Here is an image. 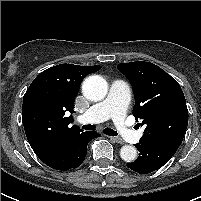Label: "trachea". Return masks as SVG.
<instances>
[{
    "mask_svg": "<svg viewBox=\"0 0 201 201\" xmlns=\"http://www.w3.org/2000/svg\"><path fill=\"white\" fill-rule=\"evenodd\" d=\"M82 128L85 130H95V126H93L91 124L82 125ZM103 133L108 136H117L118 135L116 131H114L113 129H109V128H105L103 130Z\"/></svg>",
    "mask_w": 201,
    "mask_h": 201,
    "instance_id": "trachea-1",
    "label": "trachea"
}]
</instances>
